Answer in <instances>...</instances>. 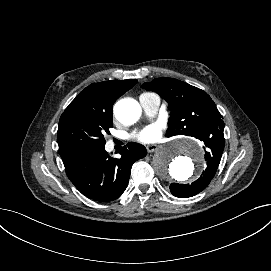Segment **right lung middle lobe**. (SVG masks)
<instances>
[{
    "label": "right lung middle lobe",
    "instance_id": "1",
    "mask_svg": "<svg viewBox=\"0 0 271 271\" xmlns=\"http://www.w3.org/2000/svg\"><path fill=\"white\" fill-rule=\"evenodd\" d=\"M113 126L111 110L81 102L67 107L60 117L57 141L62 158L105 146L104 133Z\"/></svg>",
    "mask_w": 271,
    "mask_h": 271
}]
</instances>
